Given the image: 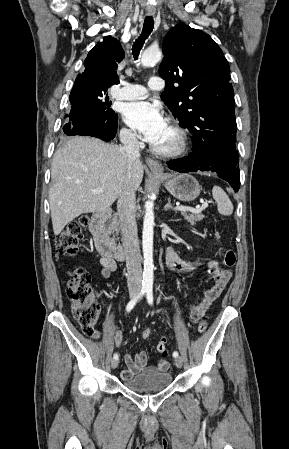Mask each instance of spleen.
I'll return each mask as SVG.
<instances>
[{
	"label": "spleen",
	"instance_id": "1",
	"mask_svg": "<svg viewBox=\"0 0 289 449\" xmlns=\"http://www.w3.org/2000/svg\"><path fill=\"white\" fill-rule=\"evenodd\" d=\"M213 198L217 203L218 212L224 216H230L233 213V204L226 192L219 186L212 189Z\"/></svg>",
	"mask_w": 289,
	"mask_h": 449
}]
</instances>
